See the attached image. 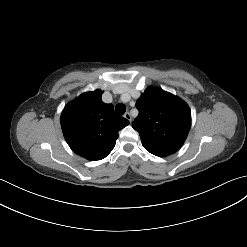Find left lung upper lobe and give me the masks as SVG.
<instances>
[{
	"label": "left lung upper lobe",
	"instance_id": "obj_1",
	"mask_svg": "<svg viewBox=\"0 0 247 247\" xmlns=\"http://www.w3.org/2000/svg\"><path fill=\"white\" fill-rule=\"evenodd\" d=\"M139 111L132 127L150 153L164 157L178 151L191 127V112L180 98L148 87L136 102Z\"/></svg>",
	"mask_w": 247,
	"mask_h": 247
}]
</instances>
